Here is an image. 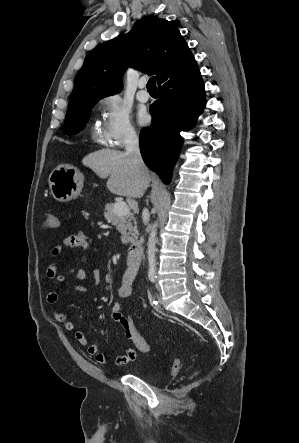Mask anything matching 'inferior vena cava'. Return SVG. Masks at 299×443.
Returning a JSON list of instances; mask_svg holds the SVG:
<instances>
[{
  "label": "inferior vena cava",
  "mask_w": 299,
  "mask_h": 443,
  "mask_svg": "<svg viewBox=\"0 0 299 443\" xmlns=\"http://www.w3.org/2000/svg\"><path fill=\"white\" fill-rule=\"evenodd\" d=\"M125 149H126V154L131 157L134 165L140 170H142L145 165L141 158L139 141L136 132L133 129H129L125 133ZM147 213L148 210L144 209L143 214L145 215Z\"/></svg>",
  "instance_id": "obj_1"
}]
</instances>
